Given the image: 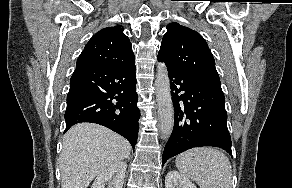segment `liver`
I'll use <instances>...</instances> for the list:
<instances>
[{
    "label": "liver",
    "instance_id": "liver-1",
    "mask_svg": "<svg viewBox=\"0 0 292 188\" xmlns=\"http://www.w3.org/2000/svg\"><path fill=\"white\" fill-rule=\"evenodd\" d=\"M130 143L117 133L93 123L71 127L63 139L59 167L62 188H87L110 165L130 155Z\"/></svg>",
    "mask_w": 292,
    "mask_h": 188
}]
</instances>
